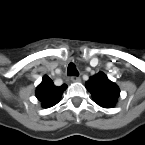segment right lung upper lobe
Returning <instances> with one entry per match:
<instances>
[{
	"instance_id": "cb5924a9",
	"label": "right lung upper lobe",
	"mask_w": 145,
	"mask_h": 145,
	"mask_svg": "<svg viewBox=\"0 0 145 145\" xmlns=\"http://www.w3.org/2000/svg\"><path fill=\"white\" fill-rule=\"evenodd\" d=\"M66 88L67 85L65 84L56 87L48 76H44L41 84L36 89V96L42 102L43 107L49 108L60 101L62 93Z\"/></svg>"
}]
</instances>
